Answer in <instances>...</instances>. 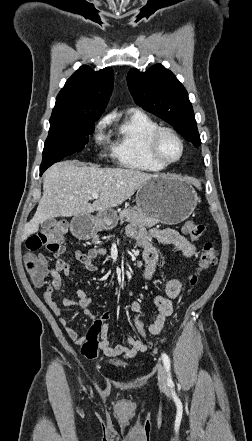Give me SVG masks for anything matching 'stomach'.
I'll list each match as a JSON object with an SVG mask.
<instances>
[{
    "instance_id": "obj_1",
    "label": "stomach",
    "mask_w": 252,
    "mask_h": 441,
    "mask_svg": "<svg viewBox=\"0 0 252 441\" xmlns=\"http://www.w3.org/2000/svg\"><path fill=\"white\" fill-rule=\"evenodd\" d=\"M198 201L194 188L185 179L172 175H156L137 190L135 208L159 222L174 225L186 220ZM117 221L116 211H101L90 219L92 232L111 229Z\"/></svg>"
}]
</instances>
